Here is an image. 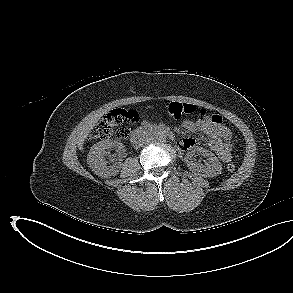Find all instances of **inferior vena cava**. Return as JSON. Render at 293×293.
<instances>
[{
  "label": "inferior vena cava",
  "instance_id": "obj_1",
  "mask_svg": "<svg viewBox=\"0 0 293 293\" xmlns=\"http://www.w3.org/2000/svg\"><path fill=\"white\" fill-rule=\"evenodd\" d=\"M151 141H152V138L151 137H144L139 142H136V148H138V147H140L142 145H146V144H148Z\"/></svg>",
  "mask_w": 293,
  "mask_h": 293
}]
</instances>
